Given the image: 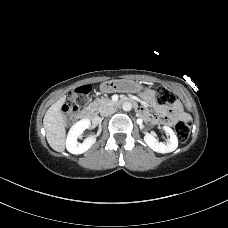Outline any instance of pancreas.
I'll list each match as a JSON object with an SVG mask.
<instances>
[{"label":"pancreas","instance_id":"obj_1","mask_svg":"<svg viewBox=\"0 0 228 228\" xmlns=\"http://www.w3.org/2000/svg\"><path fill=\"white\" fill-rule=\"evenodd\" d=\"M113 105V102L109 99H97L90 106L98 112H102L107 106Z\"/></svg>","mask_w":228,"mask_h":228}]
</instances>
